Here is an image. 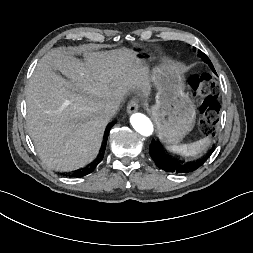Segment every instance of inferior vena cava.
I'll use <instances>...</instances> for the list:
<instances>
[{"instance_id":"obj_1","label":"inferior vena cava","mask_w":253,"mask_h":253,"mask_svg":"<svg viewBox=\"0 0 253 253\" xmlns=\"http://www.w3.org/2000/svg\"><path fill=\"white\" fill-rule=\"evenodd\" d=\"M120 103H107L104 108V114L111 119L118 111Z\"/></svg>"}]
</instances>
